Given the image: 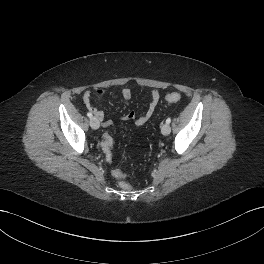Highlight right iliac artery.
Returning <instances> with one entry per match:
<instances>
[{"label": "right iliac artery", "mask_w": 264, "mask_h": 264, "mask_svg": "<svg viewBox=\"0 0 264 264\" xmlns=\"http://www.w3.org/2000/svg\"><path fill=\"white\" fill-rule=\"evenodd\" d=\"M87 116H88L89 118H92L93 115H92V113L88 112V113H87Z\"/></svg>", "instance_id": "1"}]
</instances>
